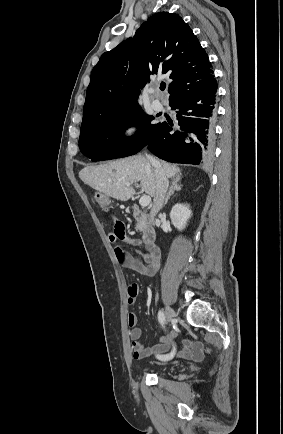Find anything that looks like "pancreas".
Returning a JSON list of instances; mask_svg holds the SVG:
<instances>
[{"mask_svg": "<svg viewBox=\"0 0 283 434\" xmlns=\"http://www.w3.org/2000/svg\"><path fill=\"white\" fill-rule=\"evenodd\" d=\"M136 228H137V230H139V231H144L145 223H144L143 221H139V222H137Z\"/></svg>", "mask_w": 283, "mask_h": 434, "instance_id": "obj_1", "label": "pancreas"}]
</instances>
